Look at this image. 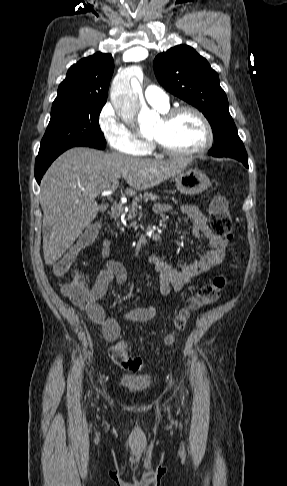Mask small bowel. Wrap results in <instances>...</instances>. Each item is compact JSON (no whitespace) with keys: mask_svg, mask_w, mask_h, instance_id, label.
I'll use <instances>...</instances> for the list:
<instances>
[{"mask_svg":"<svg viewBox=\"0 0 287 486\" xmlns=\"http://www.w3.org/2000/svg\"><path fill=\"white\" fill-rule=\"evenodd\" d=\"M170 211L171 207L166 204H157L154 207V212L159 215L167 214ZM182 212L192 222V235L203 243L205 252L195 261L179 265H173L157 254H152L149 257V263L158 275L159 295L161 297H166L171 292H179L196 277L220 265L228 255L225 239L216 235L210 229L206 217L198 207L189 204L184 205ZM111 254L112 242L109 239H103L101 241V257L105 260V267L99 272L92 285H89L85 280L89 292V302L84 307L90 320L101 327L103 337L109 342L116 341L120 336V324L115 317L106 315L100 300L106 294L112 281L122 285L127 280L125 268L119 262L113 260ZM158 308L159 303L146 307H136L125 312L123 318L130 322H148L155 317Z\"/></svg>","mask_w":287,"mask_h":486,"instance_id":"small-bowel-1","label":"small bowel"}]
</instances>
